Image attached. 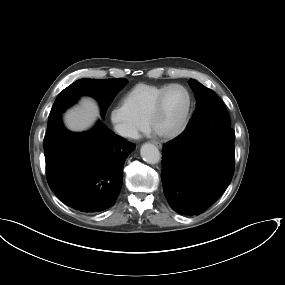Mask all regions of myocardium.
Returning <instances> with one entry per match:
<instances>
[{
  "label": "myocardium",
  "mask_w": 285,
  "mask_h": 285,
  "mask_svg": "<svg viewBox=\"0 0 285 285\" xmlns=\"http://www.w3.org/2000/svg\"><path fill=\"white\" fill-rule=\"evenodd\" d=\"M173 87H180L185 91V93L187 95V105H186L185 111H184L182 117L180 118L179 122L177 123V125L169 131H161L155 127L154 120L157 118V116L159 115V113L161 112V110L163 108V104H164V100H165V96H166L167 92ZM192 104H193L192 95L186 86H184L183 84H180V83L168 84L160 92L155 103L150 108V110H149V112L145 118V122L151 127V129L153 130V132L157 136L162 137V138H174L177 135H179L182 132V130L184 129V127L186 126L187 121H188L189 116H190V113H191Z\"/></svg>",
  "instance_id": "obj_1"
}]
</instances>
